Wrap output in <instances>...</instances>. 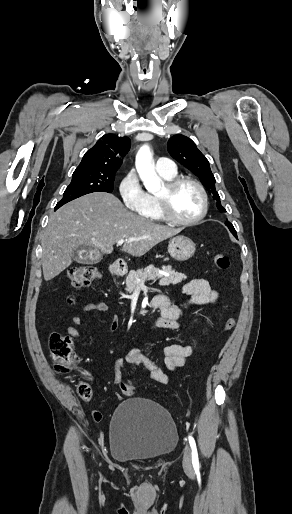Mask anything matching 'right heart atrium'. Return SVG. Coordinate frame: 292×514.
I'll return each instance as SVG.
<instances>
[{"label": "right heart atrium", "mask_w": 292, "mask_h": 514, "mask_svg": "<svg viewBox=\"0 0 292 514\" xmlns=\"http://www.w3.org/2000/svg\"><path fill=\"white\" fill-rule=\"evenodd\" d=\"M118 195L124 200V209H138L146 202V191L139 182L135 171L126 172L118 183Z\"/></svg>", "instance_id": "d8ad5b80"}]
</instances>
